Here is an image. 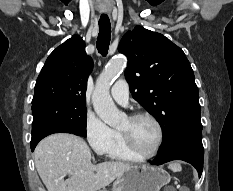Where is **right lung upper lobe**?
Returning <instances> with one entry per match:
<instances>
[{
	"label": "right lung upper lobe",
	"mask_w": 233,
	"mask_h": 191,
	"mask_svg": "<svg viewBox=\"0 0 233 191\" xmlns=\"http://www.w3.org/2000/svg\"><path fill=\"white\" fill-rule=\"evenodd\" d=\"M93 61L85 52L84 41L73 35L47 58L35 85L32 101L58 98L86 104L85 92Z\"/></svg>",
	"instance_id": "right-lung-upper-lobe-1"
}]
</instances>
